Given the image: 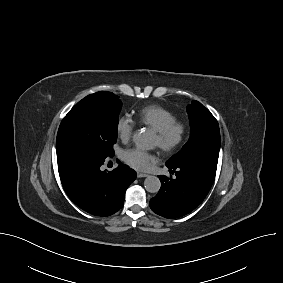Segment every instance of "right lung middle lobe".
<instances>
[{"label":"right lung middle lobe","mask_w":283,"mask_h":283,"mask_svg":"<svg viewBox=\"0 0 283 283\" xmlns=\"http://www.w3.org/2000/svg\"><path fill=\"white\" fill-rule=\"evenodd\" d=\"M122 103L111 92L86 96L63 118L56 139L57 160L71 153L113 156Z\"/></svg>","instance_id":"1"}]
</instances>
